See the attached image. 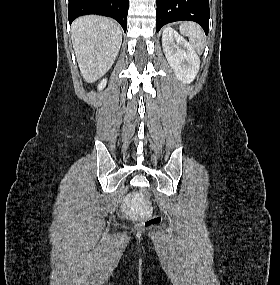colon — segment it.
<instances>
[{"label":"colon","instance_id":"colon-1","mask_svg":"<svg viewBox=\"0 0 280 285\" xmlns=\"http://www.w3.org/2000/svg\"><path fill=\"white\" fill-rule=\"evenodd\" d=\"M140 196L146 201L150 202L151 195L145 188L140 189ZM161 223V218L158 215H149L143 222L144 228H151L158 226Z\"/></svg>","mask_w":280,"mask_h":285}]
</instances>
